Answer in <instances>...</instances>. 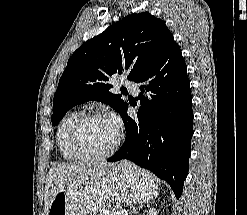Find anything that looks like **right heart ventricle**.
<instances>
[{"label":"right heart ventricle","mask_w":247,"mask_h":215,"mask_svg":"<svg viewBox=\"0 0 247 215\" xmlns=\"http://www.w3.org/2000/svg\"><path fill=\"white\" fill-rule=\"evenodd\" d=\"M80 116V112L71 111L67 113L64 118L60 121L57 132H56V142L61 157L65 161L76 162L81 160L76 156L70 147V130L76 119Z\"/></svg>","instance_id":"e07e8e85"}]
</instances>
